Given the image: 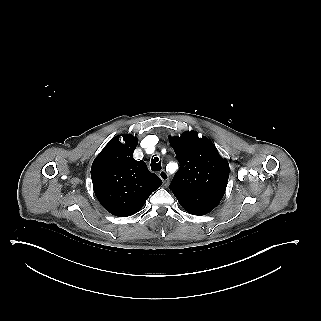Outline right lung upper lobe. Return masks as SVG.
<instances>
[{"instance_id":"right-lung-upper-lobe-1","label":"right lung upper lobe","mask_w":321,"mask_h":321,"mask_svg":"<svg viewBox=\"0 0 321 321\" xmlns=\"http://www.w3.org/2000/svg\"><path fill=\"white\" fill-rule=\"evenodd\" d=\"M123 139L125 143L119 141V136L111 139L91 167L97 199L108 212L119 217L137 213L162 184L144 161L133 158L138 139L131 134Z\"/></svg>"}]
</instances>
